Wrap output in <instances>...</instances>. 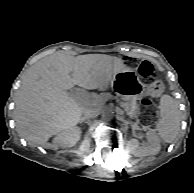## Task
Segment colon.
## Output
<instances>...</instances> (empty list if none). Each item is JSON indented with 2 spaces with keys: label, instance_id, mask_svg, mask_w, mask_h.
Returning a JSON list of instances; mask_svg holds the SVG:
<instances>
[{
  "label": "colon",
  "instance_id": "5ec220e1",
  "mask_svg": "<svg viewBox=\"0 0 194 193\" xmlns=\"http://www.w3.org/2000/svg\"><path fill=\"white\" fill-rule=\"evenodd\" d=\"M128 64L134 66L138 74L145 80H149L154 76V66L148 61L131 60L128 62ZM142 104L148 107L152 104V101L149 98H145L142 100Z\"/></svg>",
  "mask_w": 194,
  "mask_h": 193
}]
</instances>
